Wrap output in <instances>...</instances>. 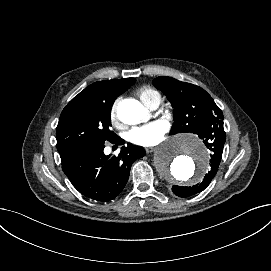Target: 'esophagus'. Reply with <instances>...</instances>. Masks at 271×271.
Returning <instances> with one entry per match:
<instances>
[{"mask_svg":"<svg viewBox=\"0 0 271 271\" xmlns=\"http://www.w3.org/2000/svg\"><path fill=\"white\" fill-rule=\"evenodd\" d=\"M156 149H157V147H146L145 151H146V153L149 154V153L154 152Z\"/></svg>","mask_w":271,"mask_h":271,"instance_id":"esophagus-1","label":"esophagus"}]
</instances>
